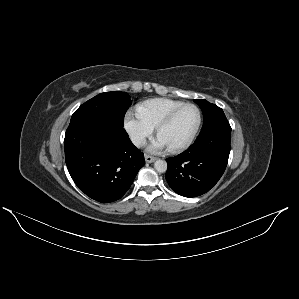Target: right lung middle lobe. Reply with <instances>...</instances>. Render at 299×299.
<instances>
[{
  "label": "right lung middle lobe",
  "instance_id": "dd1d6c3e",
  "mask_svg": "<svg viewBox=\"0 0 299 299\" xmlns=\"http://www.w3.org/2000/svg\"><path fill=\"white\" fill-rule=\"evenodd\" d=\"M132 101L126 92H105L82 104L72 115L71 122L104 120L123 128V120Z\"/></svg>",
  "mask_w": 299,
  "mask_h": 299
}]
</instances>
